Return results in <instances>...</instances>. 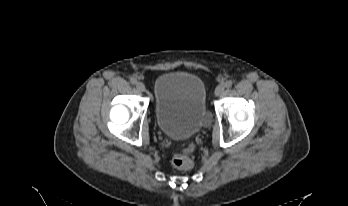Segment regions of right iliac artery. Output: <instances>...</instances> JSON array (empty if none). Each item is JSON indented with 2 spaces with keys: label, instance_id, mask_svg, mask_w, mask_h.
Returning <instances> with one entry per match:
<instances>
[{
  "label": "right iliac artery",
  "instance_id": "right-iliac-artery-1",
  "mask_svg": "<svg viewBox=\"0 0 348 206\" xmlns=\"http://www.w3.org/2000/svg\"><path fill=\"white\" fill-rule=\"evenodd\" d=\"M130 82H131V84H136V83H137V80H136V78L132 77V78L130 79Z\"/></svg>",
  "mask_w": 348,
  "mask_h": 206
}]
</instances>
